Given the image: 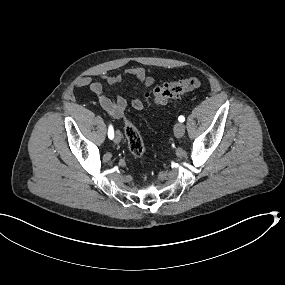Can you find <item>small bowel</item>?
<instances>
[{
  "mask_svg": "<svg viewBox=\"0 0 285 285\" xmlns=\"http://www.w3.org/2000/svg\"><path fill=\"white\" fill-rule=\"evenodd\" d=\"M127 74L138 81L143 92L153 85V78L148 76L143 68H131L127 71ZM101 79L110 86H116L121 82L122 77L121 75L103 74L101 75ZM77 85L79 87L88 88L97 97L101 107L109 116L115 120L122 119L127 109V100L124 97L116 96L114 99H112L106 96L103 93L102 83L92 80L89 77H80L77 80ZM131 104L132 107L137 111L142 110L144 107L142 100L139 98L133 99Z\"/></svg>",
  "mask_w": 285,
  "mask_h": 285,
  "instance_id": "c3829d8e",
  "label": "small bowel"
}]
</instances>
